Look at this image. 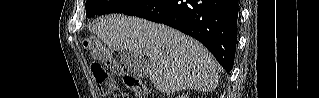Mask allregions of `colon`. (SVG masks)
<instances>
[{
    "instance_id": "obj_1",
    "label": "colon",
    "mask_w": 319,
    "mask_h": 98,
    "mask_svg": "<svg viewBox=\"0 0 319 98\" xmlns=\"http://www.w3.org/2000/svg\"><path fill=\"white\" fill-rule=\"evenodd\" d=\"M94 40L89 38L84 42L85 47H92ZM100 60L106 63L112 69V74L107 72L98 63H93L90 66L95 83L103 97L126 98L127 96L121 93L117 88V77H121L125 86L133 91L138 98H145L148 90L142 81L135 75H132L123 70L118 64L114 63L107 52L99 48L96 50Z\"/></svg>"
}]
</instances>
